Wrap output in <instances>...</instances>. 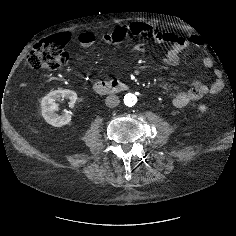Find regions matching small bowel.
<instances>
[{
	"label": "small bowel",
	"instance_id": "small-bowel-1",
	"mask_svg": "<svg viewBox=\"0 0 236 236\" xmlns=\"http://www.w3.org/2000/svg\"><path fill=\"white\" fill-rule=\"evenodd\" d=\"M133 35L138 38L150 39L158 43L170 44V48L163 57V61L169 65H179L182 62L181 53L190 44L198 45L201 38L198 35L186 37L172 32H163L159 29L145 24L143 22H135L118 27L113 32L105 33L101 36V41L107 45H115L122 42L126 37ZM58 36L65 42L70 39L68 32H62ZM78 40L83 48L91 47L95 41L96 36L91 31H84L79 34ZM138 50H144L142 44H137ZM204 65L211 66V60L205 59ZM215 79L213 83L208 86L201 82H194L190 88L178 90L174 96L172 103L176 108H183L190 102L196 101L207 95L208 93H218L224 86L221 74L216 71L214 73Z\"/></svg>",
	"mask_w": 236,
	"mask_h": 236
}]
</instances>
